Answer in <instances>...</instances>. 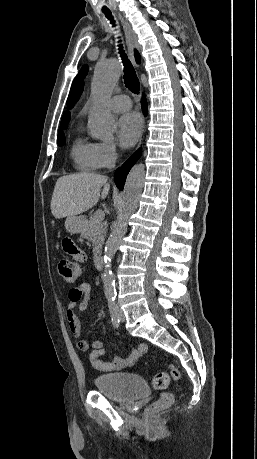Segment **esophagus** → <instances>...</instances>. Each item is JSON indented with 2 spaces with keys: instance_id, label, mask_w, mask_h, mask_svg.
I'll list each match as a JSON object with an SVG mask.
<instances>
[{
  "instance_id": "obj_1",
  "label": "esophagus",
  "mask_w": 257,
  "mask_h": 459,
  "mask_svg": "<svg viewBox=\"0 0 257 459\" xmlns=\"http://www.w3.org/2000/svg\"><path fill=\"white\" fill-rule=\"evenodd\" d=\"M119 18L123 26L129 57L132 63L134 64V66L139 68L140 65L136 63L135 57H134V49L138 48L136 35L134 34L130 24L126 20H124V18L120 14H119Z\"/></svg>"
}]
</instances>
